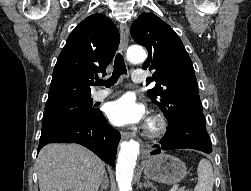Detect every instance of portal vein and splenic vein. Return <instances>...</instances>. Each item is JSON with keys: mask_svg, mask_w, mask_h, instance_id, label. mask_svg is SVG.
<instances>
[{"mask_svg": "<svg viewBox=\"0 0 251 191\" xmlns=\"http://www.w3.org/2000/svg\"><path fill=\"white\" fill-rule=\"evenodd\" d=\"M178 188V185L177 184H174L171 189H169V191H176Z\"/></svg>", "mask_w": 251, "mask_h": 191, "instance_id": "18ae733b", "label": "portal vein and splenic vein"}]
</instances>
